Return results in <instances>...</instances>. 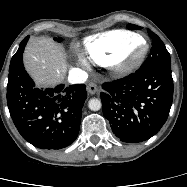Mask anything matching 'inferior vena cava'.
I'll use <instances>...</instances> for the list:
<instances>
[{
	"label": "inferior vena cava",
	"mask_w": 187,
	"mask_h": 187,
	"mask_svg": "<svg viewBox=\"0 0 187 187\" xmlns=\"http://www.w3.org/2000/svg\"><path fill=\"white\" fill-rule=\"evenodd\" d=\"M87 78H88V74L79 68H72L69 71L68 81L71 84L84 83L87 80Z\"/></svg>",
	"instance_id": "inferior-vena-cava-1"
}]
</instances>
